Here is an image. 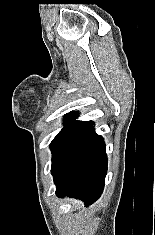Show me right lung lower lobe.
Returning <instances> with one entry per match:
<instances>
[{
  "label": "right lung lower lobe",
  "mask_w": 155,
  "mask_h": 235,
  "mask_svg": "<svg viewBox=\"0 0 155 235\" xmlns=\"http://www.w3.org/2000/svg\"><path fill=\"white\" fill-rule=\"evenodd\" d=\"M56 192L84 201H96L104 187L107 156L103 138L94 127L77 138L52 165Z\"/></svg>",
  "instance_id": "1"
}]
</instances>
